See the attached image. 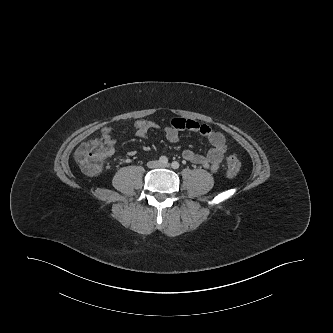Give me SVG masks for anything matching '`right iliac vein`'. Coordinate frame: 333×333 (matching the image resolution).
Instances as JSON below:
<instances>
[{
    "label": "right iliac vein",
    "mask_w": 333,
    "mask_h": 333,
    "mask_svg": "<svg viewBox=\"0 0 333 333\" xmlns=\"http://www.w3.org/2000/svg\"><path fill=\"white\" fill-rule=\"evenodd\" d=\"M151 166H152L153 168H156V167L159 166V163L156 162V161H154V162H152Z\"/></svg>",
    "instance_id": "63e3f726"
}]
</instances>
